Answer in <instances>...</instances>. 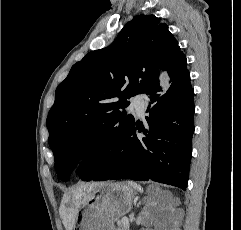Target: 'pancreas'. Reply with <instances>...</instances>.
<instances>
[{"mask_svg": "<svg viewBox=\"0 0 241 230\" xmlns=\"http://www.w3.org/2000/svg\"><path fill=\"white\" fill-rule=\"evenodd\" d=\"M115 230H129V225H120L117 229Z\"/></svg>", "mask_w": 241, "mask_h": 230, "instance_id": "pancreas-1", "label": "pancreas"}]
</instances>
